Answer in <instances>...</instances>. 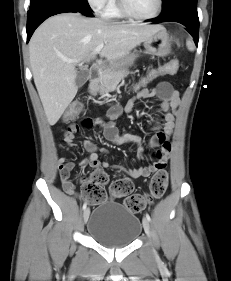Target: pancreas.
Masks as SVG:
<instances>
[{
    "mask_svg": "<svg viewBox=\"0 0 231 281\" xmlns=\"http://www.w3.org/2000/svg\"><path fill=\"white\" fill-rule=\"evenodd\" d=\"M129 74L127 69H107L97 79H94L90 85V92L93 95L100 93L105 96L106 93L113 91L119 82Z\"/></svg>",
    "mask_w": 231,
    "mask_h": 281,
    "instance_id": "pancreas-1",
    "label": "pancreas"
}]
</instances>
